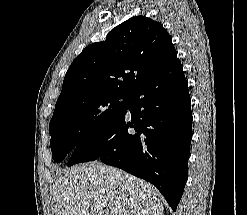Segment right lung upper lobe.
I'll use <instances>...</instances> for the list:
<instances>
[{"instance_id": "cb5924a9", "label": "right lung upper lobe", "mask_w": 247, "mask_h": 215, "mask_svg": "<svg viewBox=\"0 0 247 215\" xmlns=\"http://www.w3.org/2000/svg\"><path fill=\"white\" fill-rule=\"evenodd\" d=\"M174 50L170 35L159 22L144 16L130 18L112 29L105 41L89 45L74 59L55 110L94 95H130Z\"/></svg>"}]
</instances>
